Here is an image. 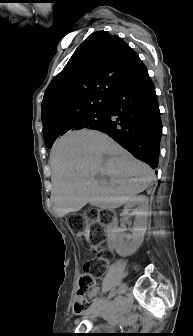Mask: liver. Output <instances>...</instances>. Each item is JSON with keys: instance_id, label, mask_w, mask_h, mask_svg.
I'll return each instance as SVG.
<instances>
[{"instance_id": "obj_1", "label": "liver", "mask_w": 193, "mask_h": 336, "mask_svg": "<svg viewBox=\"0 0 193 336\" xmlns=\"http://www.w3.org/2000/svg\"><path fill=\"white\" fill-rule=\"evenodd\" d=\"M52 197L56 214L64 217L87 203L114 209L143 192L154 171L106 134L94 130L70 133L50 153ZM108 176L110 182L98 180Z\"/></svg>"}]
</instances>
